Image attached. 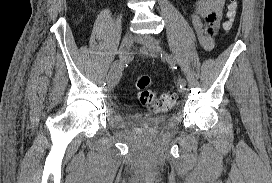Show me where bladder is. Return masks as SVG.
Listing matches in <instances>:
<instances>
[{
    "mask_svg": "<svg viewBox=\"0 0 272 183\" xmlns=\"http://www.w3.org/2000/svg\"><path fill=\"white\" fill-rule=\"evenodd\" d=\"M141 118L145 120L149 124V126H151L155 130L162 128L167 121L165 117L143 116Z\"/></svg>",
    "mask_w": 272,
    "mask_h": 183,
    "instance_id": "bladder-1",
    "label": "bladder"
}]
</instances>
